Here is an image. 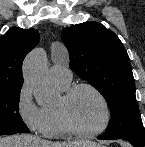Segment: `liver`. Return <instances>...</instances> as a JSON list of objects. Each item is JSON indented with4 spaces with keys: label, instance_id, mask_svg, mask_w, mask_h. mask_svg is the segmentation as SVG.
Here are the masks:
<instances>
[{
    "label": "liver",
    "instance_id": "1",
    "mask_svg": "<svg viewBox=\"0 0 145 147\" xmlns=\"http://www.w3.org/2000/svg\"><path fill=\"white\" fill-rule=\"evenodd\" d=\"M0 147H100L94 142H50L31 135H12L0 138Z\"/></svg>",
    "mask_w": 145,
    "mask_h": 147
}]
</instances>
